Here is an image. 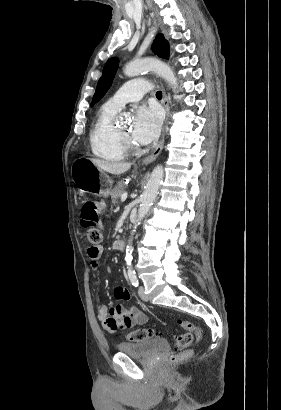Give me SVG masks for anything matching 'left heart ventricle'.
Segmentation results:
<instances>
[{"mask_svg":"<svg viewBox=\"0 0 281 410\" xmlns=\"http://www.w3.org/2000/svg\"><path fill=\"white\" fill-rule=\"evenodd\" d=\"M123 134H125V135H129V133H130V128H124V129H121L120 130Z\"/></svg>","mask_w":281,"mask_h":410,"instance_id":"1","label":"left heart ventricle"}]
</instances>
